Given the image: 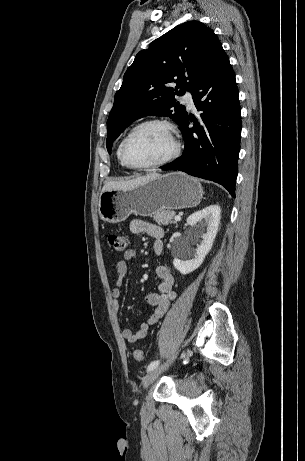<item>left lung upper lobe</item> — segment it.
Returning <instances> with one entry per match:
<instances>
[{"mask_svg":"<svg viewBox=\"0 0 305 461\" xmlns=\"http://www.w3.org/2000/svg\"><path fill=\"white\" fill-rule=\"evenodd\" d=\"M222 45L213 30L199 21L176 26L140 51L123 77L107 120L106 146L133 121L148 115L167 116L179 125L186 108L175 96L192 89L216 62ZM176 83V87H171Z\"/></svg>","mask_w":305,"mask_h":461,"instance_id":"5c2ea615","label":"left lung upper lobe"}]
</instances>
